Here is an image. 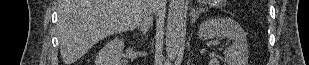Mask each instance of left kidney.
I'll return each instance as SVG.
<instances>
[{"mask_svg": "<svg viewBox=\"0 0 309 65\" xmlns=\"http://www.w3.org/2000/svg\"><path fill=\"white\" fill-rule=\"evenodd\" d=\"M198 36L205 41L214 37L232 41L225 52L224 65H247L248 43L243 28L231 18L207 19L199 27ZM210 65H220V61L212 59Z\"/></svg>", "mask_w": 309, "mask_h": 65, "instance_id": "left-kidney-1", "label": "left kidney"}]
</instances>
